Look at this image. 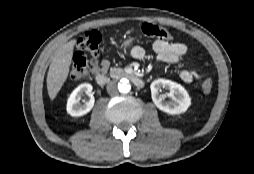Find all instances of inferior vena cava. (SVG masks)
Here are the masks:
<instances>
[{
	"label": "inferior vena cava",
	"instance_id": "inferior-vena-cava-1",
	"mask_svg": "<svg viewBox=\"0 0 254 174\" xmlns=\"http://www.w3.org/2000/svg\"><path fill=\"white\" fill-rule=\"evenodd\" d=\"M106 89H107L108 94H110V95H115L118 92L117 84H116V82H113V81L107 84Z\"/></svg>",
	"mask_w": 254,
	"mask_h": 174
}]
</instances>
